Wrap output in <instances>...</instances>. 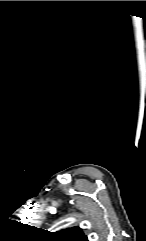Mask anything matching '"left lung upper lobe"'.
I'll list each match as a JSON object with an SVG mask.
<instances>
[{"label": "left lung upper lobe", "mask_w": 146, "mask_h": 241, "mask_svg": "<svg viewBox=\"0 0 146 241\" xmlns=\"http://www.w3.org/2000/svg\"><path fill=\"white\" fill-rule=\"evenodd\" d=\"M53 234L56 241H88L79 227L67 228Z\"/></svg>", "instance_id": "obj_1"}]
</instances>
